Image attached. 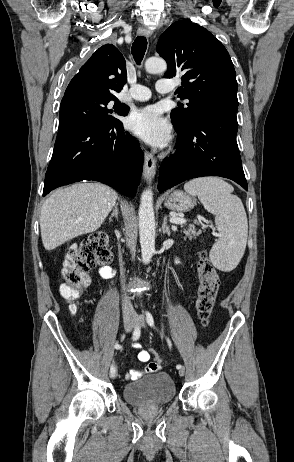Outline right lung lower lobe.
Here are the masks:
<instances>
[{"label": "right lung lower lobe", "mask_w": 294, "mask_h": 462, "mask_svg": "<svg viewBox=\"0 0 294 462\" xmlns=\"http://www.w3.org/2000/svg\"><path fill=\"white\" fill-rule=\"evenodd\" d=\"M142 167L143 152L120 120L65 128L58 131L43 196L63 185L94 180L134 197Z\"/></svg>", "instance_id": "right-lung-lower-lobe-1"}]
</instances>
